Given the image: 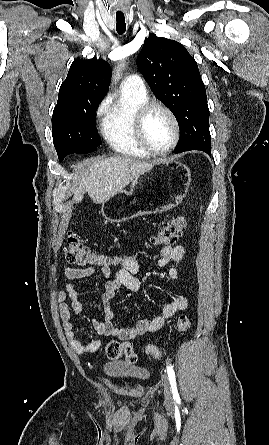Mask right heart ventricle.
<instances>
[{
  "instance_id": "e07e8e85",
  "label": "right heart ventricle",
  "mask_w": 269,
  "mask_h": 445,
  "mask_svg": "<svg viewBox=\"0 0 269 445\" xmlns=\"http://www.w3.org/2000/svg\"><path fill=\"white\" fill-rule=\"evenodd\" d=\"M146 101V94L121 88L117 101L107 109L101 123V131L106 142L115 152L136 159L150 157L140 147L134 133L136 110Z\"/></svg>"
}]
</instances>
